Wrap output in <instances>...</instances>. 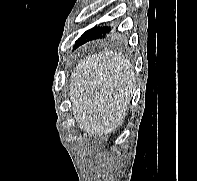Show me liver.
<instances>
[{
	"label": "liver",
	"mask_w": 197,
	"mask_h": 181,
	"mask_svg": "<svg viewBox=\"0 0 197 181\" xmlns=\"http://www.w3.org/2000/svg\"><path fill=\"white\" fill-rule=\"evenodd\" d=\"M135 73L129 59L116 51L92 53L80 60L70 82V100L79 128L108 135L123 123Z\"/></svg>",
	"instance_id": "1"
}]
</instances>
